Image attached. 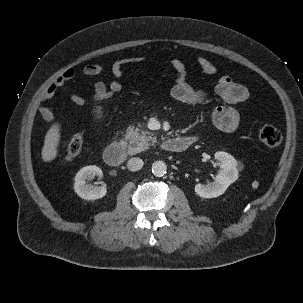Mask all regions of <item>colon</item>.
Listing matches in <instances>:
<instances>
[{
	"instance_id": "colon-1",
	"label": "colon",
	"mask_w": 303,
	"mask_h": 303,
	"mask_svg": "<svg viewBox=\"0 0 303 303\" xmlns=\"http://www.w3.org/2000/svg\"><path fill=\"white\" fill-rule=\"evenodd\" d=\"M113 94L110 92H105L101 98L93 99L96 103H101L109 99ZM256 131L259 139L269 148H278L282 143V134L281 132L271 126L266 124H259L256 126ZM83 133H75L67 144V148L62 156L63 162H69L76 158L83 146Z\"/></svg>"
}]
</instances>
